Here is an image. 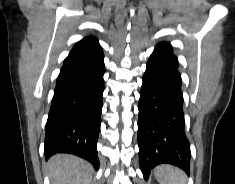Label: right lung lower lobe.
I'll use <instances>...</instances> for the list:
<instances>
[{
	"label": "right lung lower lobe",
	"mask_w": 235,
	"mask_h": 184,
	"mask_svg": "<svg viewBox=\"0 0 235 184\" xmlns=\"http://www.w3.org/2000/svg\"><path fill=\"white\" fill-rule=\"evenodd\" d=\"M103 52L69 54L64 60L52 99L45 135V156L70 153L97 170L96 144L104 91Z\"/></svg>",
	"instance_id": "obj_1"
}]
</instances>
